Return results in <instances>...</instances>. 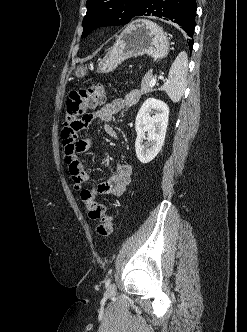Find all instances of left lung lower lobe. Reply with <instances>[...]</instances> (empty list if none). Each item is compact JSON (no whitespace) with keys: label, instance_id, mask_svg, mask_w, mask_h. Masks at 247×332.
Here are the masks:
<instances>
[{"label":"left lung lower lobe","instance_id":"left-lung-lower-lobe-1","mask_svg":"<svg viewBox=\"0 0 247 332\" xmlns=\"http://www.w3.org/2000/svg\"><path fill=\"white\" fill-rule=\"evenodd\" d=\"M196 0H146L136 16H156L180 25L189 37L195 29ZM192 50L193 39L187 40Z\"/></svg>","mask_w":247,"mask_h":332}]
</instances>
